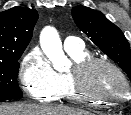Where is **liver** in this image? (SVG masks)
<instances>
[{
	"label": "liver",
	"mask_w": 131,
	"mask_h": 115,
	"mask_svg": "<svg viewBox=\"0 0 131 115\" xmlns=\"http://www.w3.org/2000/svg\"><path fill=\"white\" fill-rule=\"evenodd\" d=\"M0 115H92L89 112L66 107L33 104L0 105Z\"/></svg>",
	"instance_id": "1"
}]
</instances>
